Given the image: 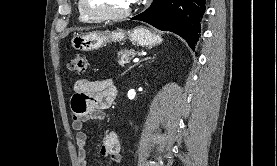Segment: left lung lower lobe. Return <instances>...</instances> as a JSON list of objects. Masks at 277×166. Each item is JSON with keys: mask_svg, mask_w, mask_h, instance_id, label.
Returning a JSON list of instances; mask_svg holds the SVG:
<instances>
[{"mask_svg": "<svg viewBox=\"0 0 277 166\" xmlns=\"http://www.w3.org/2000/svg\"><path fill=\"white\" fill-rule=\"evenodd\" d=\"M204 12L205 0H153L147 10L131 19L174 32L194 48L199 40L200 21Z\"/></svg>", "mask_w": 277, "mask_h": 166, "instance_id": "0a47b994", "label": "left lung lower lobe"}]
</instances>
